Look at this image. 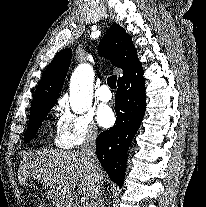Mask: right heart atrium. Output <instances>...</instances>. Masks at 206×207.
I'll return each instance as SVG.
<instances>
[{"label":"right heart atrium","instance_id":"obj_1","mask_svg":"<svg viewBox=\"0 0 206 207\" xmlns=\"http://www.w3.org/2000/svg\"><path fill=\"white\" fill-rule=\"evenodd\" d=\"M98 130L89 113H75L66 103L60 105L56 143L59 147L72 149L93 145Z\"/></svg>","mask_w":206,"mask_h":207}]
</instances>
